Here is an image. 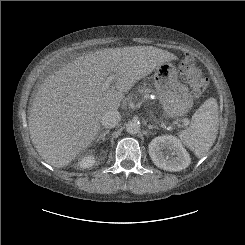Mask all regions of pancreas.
<instances>
[{
    "label": "pancreas",
    "instance_id": "1",
    "mask_svg": "<svg viewBox=\"0 0 245 245\" xmlns=\"http://www.w3.org/2000/svg\"><path fill=\"white\" fill-rule=\"evenodd\" d=\"M139 92L144 96V97H148L149 93L151 92L150 89L148 88H140Z\"/></svg>",
    "mask_w": 245,
    "mask_h": 245
}]
</instances>
